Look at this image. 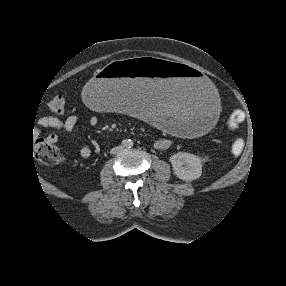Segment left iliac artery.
<instances>
[{
    "label": "left iliac artery",
    "mask_w": 286,
    "mask_h": 286,
    "mask_svg": "<svg viewBox=\"0 0 286 286\" xmlns=\"http://www.w3.org/2000/svg\"><path fill=\"white\" fill-rule=\"evenodd\" d=\"M129 145H130V146H132V145H133V143H132V142H130V143H129Z\"/></svg>",
    "instance_id": "44dca946"
}]
</instances>
